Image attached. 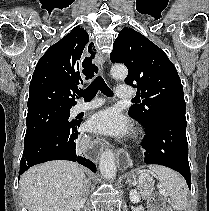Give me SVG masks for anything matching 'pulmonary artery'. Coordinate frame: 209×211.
<instances>
[{"label":"pulmonary artery","instance_id":"1","mask_svg":"<svg viewBox=\"0 0 209 211\" xmlns=\"http://www.w3.org/2000/svg\"><path fill=\"white\" fill-rule=\"evenodd\" d=\"M116 96L119 99H129L134 96V90L128 85H119L116 89ZM104 103L103 99L96 98L87 103H78L74 107L76 113L100 107Z\"/></svg>","mask_w":209,"mask_h":211}]
</instances>
